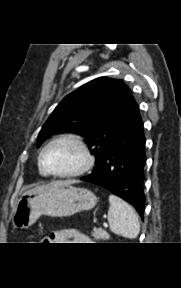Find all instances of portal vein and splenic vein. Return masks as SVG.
Here are the masks:
<instances>
[{"instance_id": "1", "label": "portal vein and splenic vein", "mask_w": 181, "mask_h": 288, "mask_svg": "<svg viewBox=\"0 0 181 288\" xmlns=\"http://www.w3.org/2000/svg\"><path fill=\"white\" fill-rule=\"evenodd\" d=\"M103 226L106 228V227H108V224L107 223H103Z\"/></svg>"}]
</instances>
